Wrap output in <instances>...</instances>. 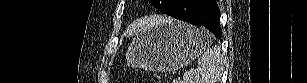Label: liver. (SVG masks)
<instances>
[{"mask_svg": "<svg viewBox=\"0 0 307 83\" xmlns=\"http://www.w3.org/2000/svg\"><path fill=\"white\" fill-rule=\"evenodd\" d=\"M136 28H137L136 26H133L132 28H130L129 32L135 31Z\"/></svg>", "mask_w": 307, "mask_h": 83, "instance_id": "obj_1", "label": "liver"}]
</instances>
